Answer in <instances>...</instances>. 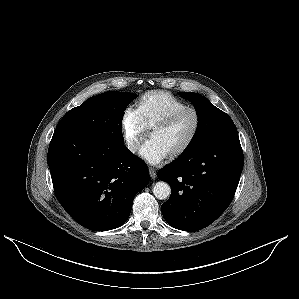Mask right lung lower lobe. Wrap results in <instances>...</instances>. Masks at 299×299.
Returning <instances> with one entry per match:
<instances>
[{
	"label": "right lung lower lobe",
	"instance_id": "right-lung-lower-lobe-1",
	"mask_svg": "<svg viewBox=\"0 0 299 299\" xmlns=\"http://www.w3.org/2000/svg\"><path fill=\"white\" fill-rule=\"evenodd\" d=\"M48 165L56 197L81 226L94 231L120 227L134 196L149 183L144 162L124 143L55 131Z\"/></svg>",
	"mask_w": 299,
	"mask_h": 299
}]
</instances>
